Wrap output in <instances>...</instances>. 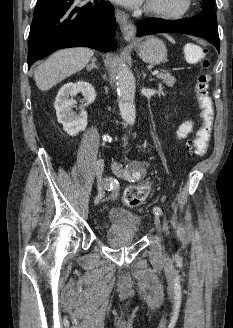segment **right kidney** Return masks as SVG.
Masks as SVG:
<instances>
[{
    "label": "right kidney",
    "instance_id": "right-kidney-1",
    "mask_svg": "<svg viewBox=\"0 0 233 328\" xmlns=\"http://www.w3.org/2000/svg\"><path fill=\"white\" fill-rule=\"evenodd\" d=\"M81 92L84 96L85 104L80 106V112L76 114L73 111V95ZM96 98L94 87L87 82L78 81L77 83H66L58 91L55 99L54 107L58 122L63 125L64 131L75 136L80 131H84L87 126V112L84 107L93 103Z\"/></svg>",
    "mask_w": 233,
    "mask_h": 328
}]
</instances>
